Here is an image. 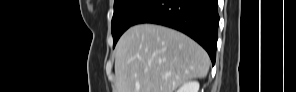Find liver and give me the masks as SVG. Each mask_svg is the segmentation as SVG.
<instances>
[{
    "label": "liver",
    "mask_w": 296,
    "mask_h": 92,
    "mask_svg": "<svg viewBox=\"0 0 296 92\" xmlns=\"http://www.w3.org/2000/svg\"><path fill=\"white\" fill-rule=\"evenodd\" d=\"M114 54L116 92H174L190 79L206 77L210 66L195 41L154 24L129 28Z\"/></svg>",
    "instance_id": "obj_1"
}]
</instances>
